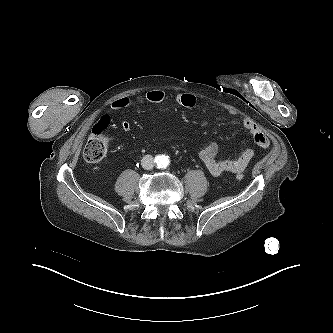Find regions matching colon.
<instances>
[{
    "label": "colon",
    "instance_id": "5ec220e1",
    "mask_svg": "<svg viewBox=\"0 0 333 333\" xmlns=\"http://www.w3.org/2000/svg\"><path fill=\"white\" fill-rule=\"evenodd\" d=\"M110 125V118L103 116L93 128L90 137L83 150V156L87 162L97 163L103 160L107 154L109 139L105 136V131ZM244 175L238 173L237 180H242Z\"/></svg>",
    "mask_w": 333,
    "mask_h": 333
}]
</instances>
